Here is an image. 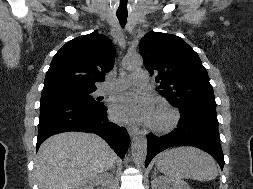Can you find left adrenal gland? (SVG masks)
<instances>
[{
  "mask_svg": "<svg viewBox=\"0 0 253 189\" xmlns=\"http://www.w3.org/2000/svg\"><path fill=\"white\" fill-rule=\"evenodd\" d=\"M156 173H157V171H156V169H154V175H153V177H155V176H156Z\"/></svg>",
  "mask_w": 253,
  "mask_h": 189,
  "instance_id": "obj_1",
  "label": "left adrenal gland"
}]
</instances>
